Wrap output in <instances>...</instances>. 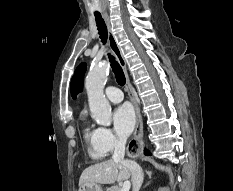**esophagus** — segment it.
I'll return each instance as SVG.
<instances>
[{
	"label": "esophagus",
	"mask_w": 233,
	"mask_h": 191,
	"mask_svg": "<svg viewBox=\"0 0 233 191\" xmlns=\"http://www.w3.org/2000/svg\"><path fill=\"white\" fill-rule=\"evenodd\" d=\"M105 21H106L107 28H108L109 47L124 71L125 78H126V91L128 92V95L130 97V100L134 106L135 113H136V126H135V130H134V134H133V136L130 139L129 144H128V150H129L128 156H140L141 151L143 150V142H142V139H143V119H142V115L140 112V108H139L136 96H135V94L132 90L131 84H130L124 56L122 54V51H121V49L117 43V40L114 36V33L112 31V27H111V23H110V19H109L108 15H105Z\"/></svg>",
	"instance_id": "1"
}]
</instances>
